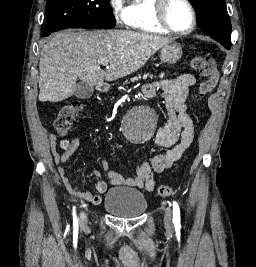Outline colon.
I'll list each match as a JSON object with an SVG mask.
<instances>
[{
  "label": "colon",
  "mask_w": 256,
  "mask_h": 267,
  "mask_svg": "<svg viewBox=\"0 0 256 267\" xmlns=\"http://www.w3.org/2000/svg\"><path fill=\"white\" fill-rule=\"evenodd\" d=\"M191 64L204 77V81L198 90V97L203 99L213 92L218 81V69L215 59L208 56H199L194 58ZM82 111L83 106L80 102L63 106L53 121L54 130L58 134H67L71 123ZM156 192L161 197H169L174 190L169 185L161 184L157 186Z\"/></svg>",
  "instance_id": "5ec220e1"
}]
</instances>
